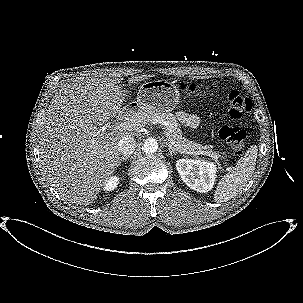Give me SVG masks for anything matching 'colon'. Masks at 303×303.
<instances>
[{
  "label": "colon",
  "mask_w": 303,
  "mask_h": 303,
  "mask_svg": "<svg viewBox=\"0 0 303 303\" xmlns=\"http://www.w3.org/2000/svg\"><path fill=\"white\" fill-rule=\"evenodd\" d=\"M226 114L224 119L230 121L220 128V137L227 142L234 154L239 155L243 152L246 141L245 130L237 123L246 112L250 111L252 103L250 99L242 96L238 92H230L227 95Z\"/></svg>",
  "instance_id": "colon-1"
}]
</instances>
